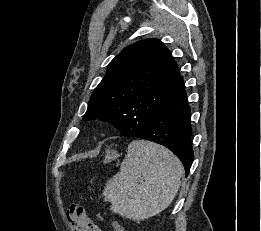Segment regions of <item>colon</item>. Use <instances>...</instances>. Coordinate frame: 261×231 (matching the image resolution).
<instances>
[{"mask_svg": "<svg viewBox=\"0 0 261 231\" xmlns=\"http://www.w3.org/2000/svg\"><path fill=\"white\" fill-rule=\"evenodd\" d=\"M67 220L69 223L77 225L82 231H89L93 228V222L89 218L86 210L76 204H72L67 210ZM114 231H125L118 221H113Z\"/></svg>", "mask_w": 261, "mask_h": 231, "instance_id": "1", "label": "colon"}]
</instances>
